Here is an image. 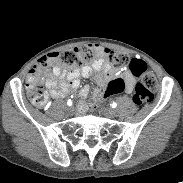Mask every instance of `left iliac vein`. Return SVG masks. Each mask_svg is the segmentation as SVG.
<instances>
[{
	"label": "left iliac vein",
	"instance_id": "left-iliac-vein-1",
	"mask_svg": "<svg viewBox=\"0 0 183 183\" xmlns=\"http://www.w3.org/2000/svg\"><path fill=\"white\" fill-rule=\"evenodd\" d=\"M103 113L108 118H113L117 116V111L113 108H103Z\"/></svg>",
	"mask_w": 183,
	"mask_h": 183
}]
</instances>
